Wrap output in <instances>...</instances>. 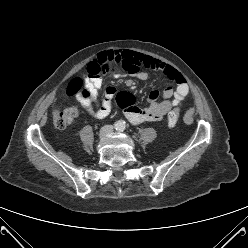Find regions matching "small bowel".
<instances>
[{"label":"small bowel","mask_w":248,"mask_h":248,"mask_svg":"<svg viewBox=\"0 0 248 248\" xmlns=\"http://www.w3.org/2000/svg\"><path fill=\"white\" fill-rule=\"evenodd\" d=\"M106 62L110 63L107 70L109 68L121 69L140 80L147 79L148 71H152L163 74L176 84L175 88L168 86L162 91L161 100H158V91H152L149 94L150 104L147 107L139 108L134 102L128 106L125 109V115L132 124L163 119L172 108L178 106L184 100L189 92L188 83L178 70L151 56L117 50L100 55L91 64L97 66ZM86 85L90 90V96L82 100L83 108L93 118L102 119L107 117L112 109V98L116 89L108 87L105 100L99 104L97 92L102 86V78L100 76L91 77L86 81Z\"/></svg>","instance_id":"c3829d8e"}]
</instances>
